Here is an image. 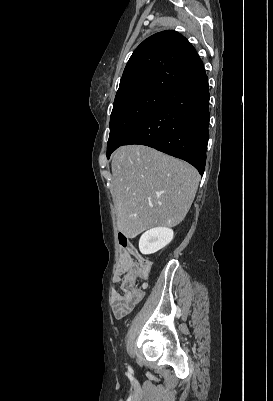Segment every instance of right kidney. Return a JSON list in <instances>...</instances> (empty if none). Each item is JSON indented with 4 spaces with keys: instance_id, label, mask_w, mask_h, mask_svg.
I'll return each instance as SVG.
<instances>
[{
    "instance_id": "obj_1",
    "label": "right kidney",
    "mask_w": 273,
    "mask_h": 401,
    "mask_svg": "<svg viewBox=\"0 0 273 401\" xmlns=\"http://www.w3.org/2000/svg\"><path fill=\"white\" fill-rule=\"evenodd\" d=\"M172 229H166V227H155L143 233L139 241V249L142 255H152L157 253L166 245H169L173 239Z\"/></svg>"
}]
</instances>
